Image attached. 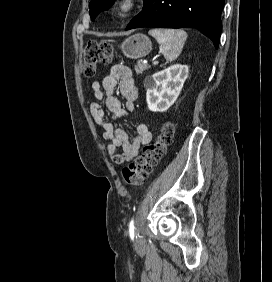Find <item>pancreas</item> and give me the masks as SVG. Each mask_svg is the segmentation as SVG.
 I'll return each instance as SVG.
<instances>
[{
	"mask_svg": "<svg viewBox=\"0 0 272 282\" xmlns=\"http://www.w3.org/2000/svg\"><path fill=\"white\" fill-rule=\"evenodd\" d=\"M150 66H148L147 64L138 61L137 65L135 66V71L137 74H141L143 73L145 70H147Z\"/></svg>",
	"mask_w": 272,
	"mask_h": 282,
	"instance_id": "pancreas-1",
	"label": "pancreas"
}]
</instances>
